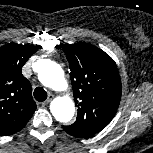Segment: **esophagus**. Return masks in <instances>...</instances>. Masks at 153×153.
<instances>
[{
  "instance_id": "34e87169",
  "label": "esophagus",
  "mask_w": 153,
  "mask_h": 153,
  "mask_svg": "<svg viewBox=\"0 0 153 153\" xmlns=\"http://www.w3.org/2000/svg\"><path fill=\"white\" fill-rule=\"evenodd\" d=\"M54 95L53 94H49L48 98L42 103V105H47L51 102V100L53 99Z\"/></svg>"
}]
</instances>
